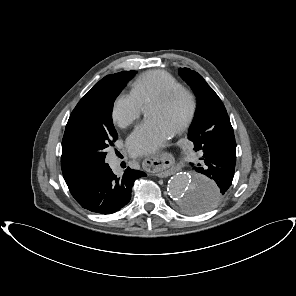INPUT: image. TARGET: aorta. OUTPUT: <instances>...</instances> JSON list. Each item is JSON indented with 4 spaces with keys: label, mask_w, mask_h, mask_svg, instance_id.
I'll list each match as a JSON object with an SVG mask.
<instances>
[{
    "label": "aorta",
    "mask_w": 296,
    "mask_h": 296,
    "mask_svg": "<svg viewBox=\"0 0 296 296\" xmlns=\"http://www.w3.org/2000/svg\"><path fill=\"white\" fill-rule=\"evenodd\" d=\"M217 184L202 175L177 173L168 182L167 191L185 213L200 214L210 210L217 199Z\"/></svg>",
    "instance_id": "aorta-1"
}]
</instances>
